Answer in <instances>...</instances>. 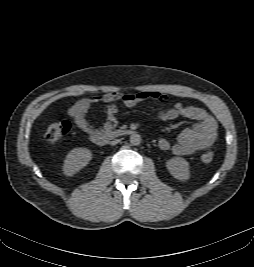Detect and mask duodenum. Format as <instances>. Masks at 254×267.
I'll use <instances>...</instances> for the list:
<instances>
[{"instance_id": "1", "label": "duodenum", "mask_w": 254, "mask_h": 267, "mask_svg": "<svg viewBox=\"0 0 254 267\" xmlns=\"http://www.w3.org/2000/svg\"><path fill=\"white\" fill-rule=\"evenodd\" d=\"M133 133L134 131L131 129L106 130L94 134L91 139L96 145L103 146L107 144L111 139L131 135Z\"/></svg>"}]
</instances>
